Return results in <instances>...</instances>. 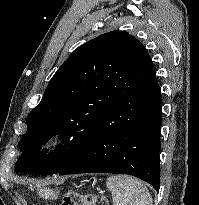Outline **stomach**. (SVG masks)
<instances>
[{
  "label": "stomach",
  "mask_w": 199,
  "mask_h": 205,
  "mask_svg": "<svg viewBox=\"0 0 199 205\" xmlns=\"http://www.w3.org/2000/svg\"><path fill=\"white\" fill-rule=\"evenodd\" d=\"M38 193L45 199H57L60 194V190L43 187L38 188Z\"/></svg>",
  "instance_id": "obj_1"
}]
</instances>
